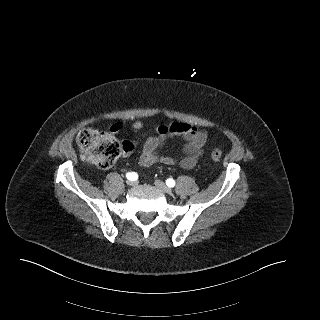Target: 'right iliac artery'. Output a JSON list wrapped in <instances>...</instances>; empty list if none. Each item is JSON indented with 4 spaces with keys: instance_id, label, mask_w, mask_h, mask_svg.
Instances as JSON below:
<instances>
[{
    "instance_id": "right-iliac-artery-1",
    "label": "right iliac artery",
    "mask_w": 320,
    "mask_h": 320,
    "mask_svg": "<svg viewBox=\"0 0 320 320\" xmlns=\"http://www.w3.org/2000/svg\"><path fill=\"white\" fill-rule=\"evenodd\" d=\"M126 177H127L128 180H132L133 181V180H136L138 178V175L135 172H128V173H126Z\"/></svg>"
}]
</instances>
